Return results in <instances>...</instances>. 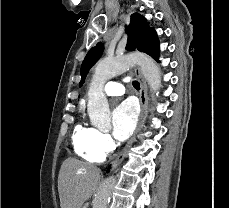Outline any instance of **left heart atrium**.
<instances>
[{
  "instance_id": "obj_1",
  "label": "left heart atrium",
  "mask_w": 229,
  "mask_h": 208,
  "mask_svg": "<svg viewBox=\"0 0 229 208\" xmlns=\"http://www.w3.org/2000/svg\"><path fill=\"white\" fill-rule=\"evenodd\" d=\"M137 120V109L131 101H124L113 112V135L119 140L127 139Z\"/></svg>"
}]
</instances>
